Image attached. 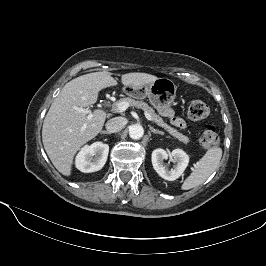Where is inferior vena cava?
Here are the masks:
<instances>
[{"instance_id":"602c4592","label":"inferior vena cava","mask_w":266,"mask_h":266,"mask_svg":"<svg viewBox=\"0 0 266 266\" xmlns=\"http://www.w3.org/2000/svg\"><path fill=\"white\" fill-rule=\"evenodd\" d=\"M126 125V120L123 117H114L107 121L106 129L110 133L119 132Z\"/></svg>"}]
</instances>
